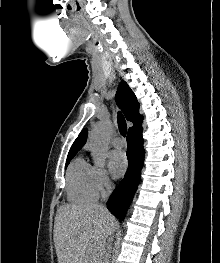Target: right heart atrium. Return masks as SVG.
Segmentation results:
<instances>
[{
	"instance_id": "1",
	"label": "right heart atrium",
	"mask_w": 220,
	"mask_h": 263,
	"mask_svg": "<svg viewBox=\"0 0 220 263\" xmlns=\"http://www.w3.org/2000/svg\"><path fill=\"white\" fill-rule=\"evenodd\" d=\"M95 182L99 192L105 193L111 188L108 172L101 167H95Z\"/></svg>"
}]
</instances>
